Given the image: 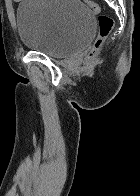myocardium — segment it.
I'll return each mask as SVG.
<instances>
[{
  "label": "myocardium",
  "instance_id": "obj_1",
  "mask_svg": "<svg viewBox=\"0 0 140 196\" xmlns=\"http://www.w3.org/2000/svg\"><path fill=\"white\" fill-rule=\"evenodd\" d=\"M36 192H44V191H36ZM55 192H63V191H55Z\"/></svg>",
  "mask_w": 140,
  "mask_h": 196
}]
</instances>
